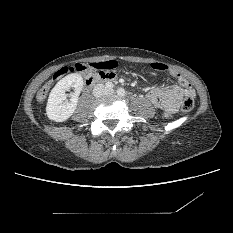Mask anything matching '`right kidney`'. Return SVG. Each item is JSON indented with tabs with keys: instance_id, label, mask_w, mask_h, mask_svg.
<instances>
[{
	"instance_id": "obj_1",
	"label": "right kidney",
	"mask_w": 233,
	"mask_h": 233,
	"mask_svg": "<svg viewBox=\"0 0 233 233\" xmlns=\"http://www.w3.org/2000/svg\"><path fill=\"white\" fill-rule=\"evenodd\" d=\"M71 87L75 88V92L68 101L66 91H69ZM82 88L83 78L77 73L69 74L57 82L48 98L47 117L55 122H63L70 118L77 107Z\"/></svg>"
}]
</instances>
